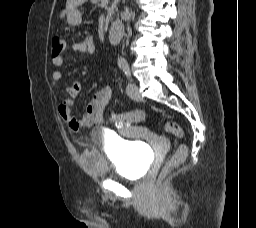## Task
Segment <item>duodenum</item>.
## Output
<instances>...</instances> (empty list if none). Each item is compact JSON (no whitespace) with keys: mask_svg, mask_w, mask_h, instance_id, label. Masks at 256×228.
Returning a JSON list of instances; mask_svg holds the SVG:
<instances>
[{"mask_svg":"<svg viewBox=\"0 0 256 228\" xmlns=\"http://www.w3.org/2000/svg\"><path fill=\"white\" fill-rule=\"evenodd\" d=\"M124 28L123 25L119 22H115L108 33V40L111 44H117L123 37Z\"/></svg>","mask_w":256,"mask_h":228,"instance_id":"410a0bca","label":"duodenum"}]
</instances>
